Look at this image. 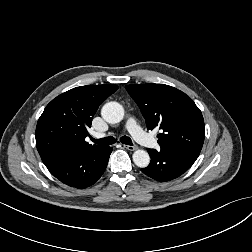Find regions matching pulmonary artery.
Instances as JSON below:
<instances>
[{
	"instance_id": "pulmonary-artery-1",
	"label": "pulmonary artery",
	"mask_w": 252,
	"mask_h": 252,
	"mask_svg": "<svg viewBox=\"0 0 252 252\" xmlns=\"http://www.w3.org/2000/svg\"><path fill=\"white\" fill-rule=\"evenodd\" d=\"M126 128L133 138L143 146L148 148L158 147L157 141L142 130L135 118H129Z\"/></svg>"
}]
</instances>
